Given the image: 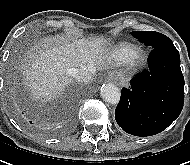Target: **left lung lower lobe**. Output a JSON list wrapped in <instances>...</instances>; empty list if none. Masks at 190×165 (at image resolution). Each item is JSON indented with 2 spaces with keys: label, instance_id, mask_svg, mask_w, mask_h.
I'll list each match as a JSON object with an SVG mask.
<instances>
[{
  "label": "left lung lower lobe",
  "instance_id": "obj_1",
  "mask_svg": "<svg viewBox=\"0 0 190 165\" xmlns=\"http://www.w3.org/2000/svg\"><path fill=\"white\" fill-rule=\"evenodd\" d=\"M150 69L123 88L115 110L117 124L135 136H151L165 130L180 115L184 104V78L180 56L171 40L154 47Z\"/></svg>",
  "mask_w": 190,
  "mask_h": 165
}]
</instances>
